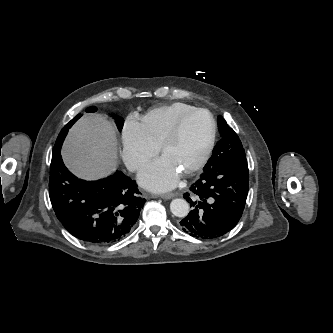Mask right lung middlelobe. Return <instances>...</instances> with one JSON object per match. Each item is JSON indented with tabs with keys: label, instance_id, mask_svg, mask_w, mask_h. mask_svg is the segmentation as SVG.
I'll use <instances>...</instances> for the list:
<instances>
[{
	"label": "right lung middle lobe",
	"instance_id": "right-lung-middle-lobe-1",
	"mask_svg": "<svg viewBox=\"0 0 333 333\" xmlns=\"http://www.w3.org/2000/svg\"><path fill=\"white\" fill-rule=\"evenodd\" d=\"M91 109L92 107L90 108H87V112H91ZM81 117V114H78L76 117H74L60 132L58 138H57V141L55 143V146H54V149H53V152L54 151H57L58 149L61 148V143L63 142L65 136L67 135V132H68V129L71 128V126ZM116 123H117V127L119 129V131L122 130V127H123V124H124V120L123 118L121 117H116Z\"/></svg>",
	"mask_w": 333,
	"mask_h": 333
}]
</instances>
